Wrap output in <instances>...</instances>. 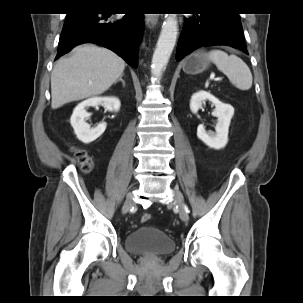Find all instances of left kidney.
<instances>
[{
	"mask_svg": "<svg viewBox=\"0 0 303 303\" xmlns=\"http://www.w3.org/2000/svg\"><path fill=\"white\" fill-rule=\"evenodd\" d=\"M206 100L215 106L212 113L213 116L218 118L215 133L206 132L204 126L200 124L197 128V137L208 147L220 150L228 143L229 126L234 115V108L230 104L222 103L211 93L201 90L191 97L190 110L192 113H197Z\"/></svg>",
	"mask_w": 303,
	"mask_h": 303,
	"instance_id": "5707ae66",
	"label": "left kidney"
}]
</instances>
